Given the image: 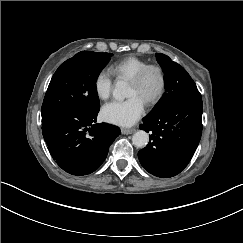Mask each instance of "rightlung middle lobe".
Here are the masks:
<instances>
[{
  "instance_id": "1",
  "label": "right lung middle lobe",
  "mask_w": 243,
  "mask_h": 243,
  "mask_svg": "<svg viewBox=\"0 0 243 243\" xmlns=\"http://www.w3.org/2000/svg\"><path fill=\"white\" fill-rule=\"evenodd\" d=\"M111 53L82 51L62 63L54 73L42 104V117L64 109L98 112L96 80Z\"/></svg>"
}]
</instances>
